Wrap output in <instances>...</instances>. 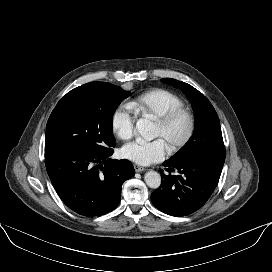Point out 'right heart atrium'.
Wrapping results in <instances>:
<instances>
[{
  "label": "right heart atrium",
  "mask_w": 272,
  "mask_h": 272,
  "mask_svg": "<svg viewBox=\"0 0 272 272\" xmlns=\"http://www.w3.org/2000/svg\"><path fill=\"white\" fill-rule=\"evenodd\" d=\"M112 130L121 140H128L133 136L135 116L127 105L118 106L111 118Z\"/></svg>",
  "instance_id": "obj_1"
}]
</instances>
